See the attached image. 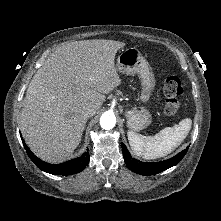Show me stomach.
Wrapping results in <instances>:
<instances>
[{
    "label": "stomach",
    "mask_w": 221,
    "mask_h": 221,
    "mask_svg": "<svg viewBox=\"0 0 221 221\" xmlns=\"http://www.w3.org/2000/svg\"><path fill=\"white\" fill-rule=\"evenodd\" d=\"M117 70L122 74H138L141 79L142 92L140 99L148 102L155 86L154 76L147 60L136 48H128L117 58ZM127 127L132 131H140L152 122V116L145 107L126 111Z\"/></svg>",
    "instance_id": "obj_1"
}]
</instances>
